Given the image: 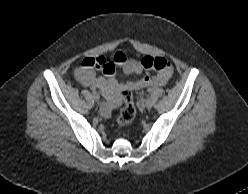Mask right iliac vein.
<instances>
[{
  "label": "right iliac vein",
  "mask_w": 248,
  "mask_h": 194,
  "mask_svg": "<svg viewBox=\"0 0 248 194\" xmlns=\"http://www.w3.org/2000/svg\"><path fill=\"white\" fill-rule=\"evenodd\" d=\"M93 99L98 102L100 99V96L97 93H93Z\"/></svg>",
  "instance_id": "1"
}]
</instances>
